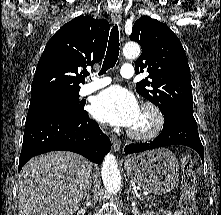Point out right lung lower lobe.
<instances>
[{
	"label": "right lung lower lobe",
	"mask_w": 221,
	"mask_h": 215,
	"mask_svg": "<svg viewBox=\"0 0 221 215\" xmlns=\"http://www.w3.org/2000/svg\"><path fill=\"white\" fill-rule=\"evenodd\" d=\"M110 149V139L86 111L73 118L36 116L26 119L18 172L32 157L50 151H72L98 164Z\"/></svg>",
	"instance_id": "right-lung-lower-lobe-1"
}]
</instances>
